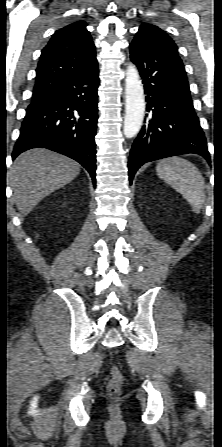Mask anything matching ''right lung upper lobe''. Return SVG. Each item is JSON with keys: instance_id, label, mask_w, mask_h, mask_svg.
I'll return each instance as SVG.
<instances>
[{"instance_id": "right-lung-upper-lobe-1", "label": "right lung upper lobe", "mask_w": 222, "mask_h": 447, "mask_svg": "<svg viewBox=\"0 0 222 447\" xmlns=\"http://www.w3.org/2000/svg\"><path fill=\"white\" fill-rule=\"evenodd\" d=\"M95 60V46L84 21L57 30L42 50L32 100L46 97Z\"/></svg>"}]
</instances>
